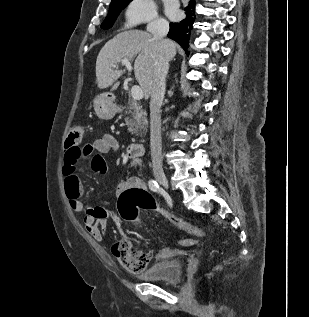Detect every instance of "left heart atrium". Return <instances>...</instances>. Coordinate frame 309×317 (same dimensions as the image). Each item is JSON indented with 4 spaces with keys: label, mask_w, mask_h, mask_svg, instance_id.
<instances>
[{
    "label": "left heart atrium",
    "mask_w": 309,
    "mask_h": 317,
    "mask_svg": "<svg viewBox=\"0 0 309 317\" xmlns=\"http://www.w3.org/2000/svg\"><path fill=\"white\" fill-rule=\"evenodd\" d=\"M168 14L172 18H176L178 16V9L174 4L168 5Z\"/></svg>",
    "instance_id": "1"
}]
</instances>
